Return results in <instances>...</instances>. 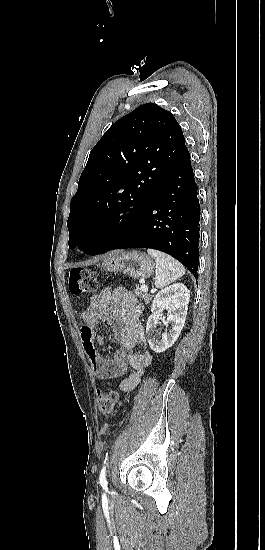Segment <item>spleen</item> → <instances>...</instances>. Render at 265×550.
Listing matches in <instances>:
<instances>
[{"instance_id":"3e777b00","label":"spleen","mask_w":265,"mask_h":550,"mask_svg":"<svg viewBox=\"0 0 265 550\" xmlns=\"http://www.w3.org/2000/svg\"><path fill=\"white\" fill-rule=\"evenodd\" d=\"M148 254L156 261L155 286L163 288L185 274V269L171 256L154 249H148Z\"/></svg>"}]
</instances>
